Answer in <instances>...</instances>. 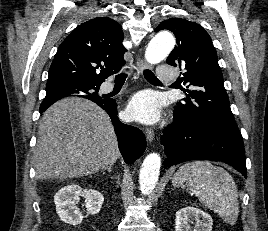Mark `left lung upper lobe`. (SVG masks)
Listing matches in <instances>:
<instances>
[{"label":"left lung upper lobe","mask_w":268,"mask_h":231,"mask_svg":"<svg viewBox=\"0 0 268 231\" xmlns=\"http://www.w3.org/2000/svg\"><path fill=\"white\" fill-rule=\"evenodd\" d=\"M167 29L174 33L177 45L166 62L183 68L180 81L187 88L174 115L184 122L213 125L241 136L230 109L216 50L208 33L197 23L170 18L155 32Z\"/></svg>","instance_id":"left-lung-upper-lobe-1"}]
</instances>
